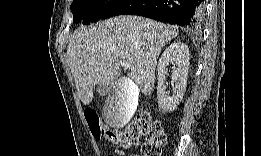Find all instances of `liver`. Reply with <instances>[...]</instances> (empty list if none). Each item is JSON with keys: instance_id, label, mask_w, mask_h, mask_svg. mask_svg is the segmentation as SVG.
Wrapping results in <instances>:
<instances>
[{"instance_id": "1", "label": "liver", "mask_w": 261, "mask_h": 156, "mask_svg": "<svg viewBox=\"0 0 261 156\" xmlns=\"http://www.w3.org/2000/svg\"><path fill=\"white\" fill-rule=\"evenodd\" d=\"M177 35L175 26L131 15L78 28L69 40L67 56L82 103L92 102L95 86H109L120 77V61L130 64L128 78L144 95L150 94L162 48ZM114 101L122 102L115 127H123L132 117L135 103L117 88L107 99L108 103Z\"/></svg>"}]
</instances>
